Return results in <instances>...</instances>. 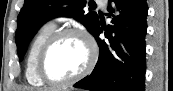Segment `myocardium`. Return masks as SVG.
<instances>
[{"label":"myocardium","instance_id":"f54148a6","mask_svg":"<svg viewBox=\"0 0 173 91\" xmlns=\"http://www.w3.org/2000/svg\"><path fill=\"white\" fill-rule=\"evenodd\" d=\"M66 35H77L81 37L88 47V59L85 67L76 75L64 80H52L44 71V60L51 46ZM98 60V47L95 40L83 29L76 27H65L54 31L42 44L36 58V74L39 79L52 87H64L73 84L87 76L95 67Z\"/></svg>","mask_w":173,"mask_h":91}]
</instances>
